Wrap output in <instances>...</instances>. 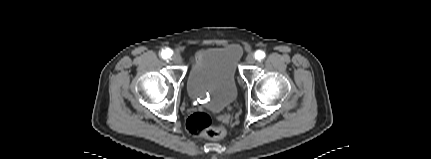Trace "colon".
<instances>
[{
	"instance_id": "1",
	"label": "colon",
	"mask_w": 431,
	"mask_h": 159,
	"mask_svg": "<svg viewBox=\"0 0 431 159\" xmlns=\"http://www.w3.org/2000/svg\"><path fill=\"white\" fill-rule=\"evenodd\" d=\"M186 129L193 136L210 139H220L226 134L225 128L214 126L210 115L204 111L192 113L186 120Z\"/></svg>"
}]
</instances>
